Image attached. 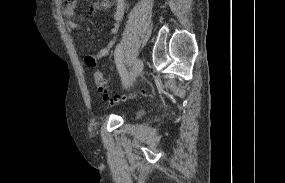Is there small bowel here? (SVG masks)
Instances as JSON below:
<instances>
[{
    "label": "small bowel",
    "mask_w": 285,
    "mask_h": 183,
    "mask_svg": "<svg viewBox=\"0 0 285 183\" xmlns=\"http://www.w3.org/2000/svg\"><path fill=\"white\" fill-rule=\"evenodd\" d=\"M111 6L113 7L112 24L110 28L111 39L108 44L101 48L96 54H88L85 56V63L90 68L96 67L101 58L108 56L116 43L117 35L125 12L126 0H101L95 3L94 10L108 9ZM63 14L67 20V25L72 30L78 31L82 28L79 22L73 20L75 14V6L73 4H68L64 8Z\"/></svg>",
    "instance_id": "small-bowel-1"
}]
</instances>
